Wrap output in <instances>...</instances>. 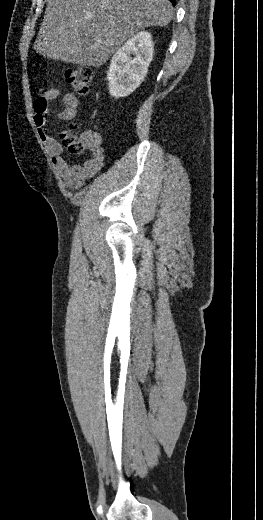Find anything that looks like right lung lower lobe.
<instances>
[{"label":"right lung lower lobe","mask_w":263,"mask_h":520,"mask_svg":"<svg viewBox=\"0 0 263 520\" xmlns=\"http://www.w3.org/2000/svg\"><path fill=\"white\" fill-rule=\"evenodd\" d=\"M172 2L173 5H175V0H170Z\"/></svg>","instance_id":"1"}]
</instances>
